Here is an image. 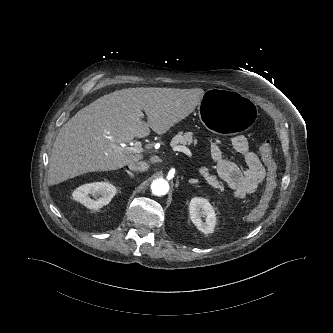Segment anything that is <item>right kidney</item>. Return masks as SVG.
<instances>
[{"mask_svg":"<svg viewBox=\"0 0 333 333\" xmlns=\"http://www.w3.org/2000/svg\"><path fill=\"white\" fill-rule=\"evenodd\" d=\"M116 194V188L109 182H94L82 185L73 192V199L90 209H99L107 205ZM93 195L96 199H91ZM98 196H101L97 198Z\"/></svg>","mask_w":333,"mask_h":333,"instance_id":"obj_1","label":"right kidney"}]
</instances>
